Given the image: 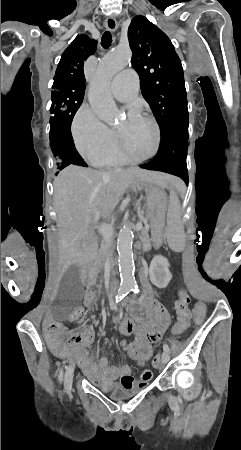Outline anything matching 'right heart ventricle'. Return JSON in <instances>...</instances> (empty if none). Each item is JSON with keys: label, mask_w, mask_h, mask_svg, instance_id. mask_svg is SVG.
Listing matches in <instances>:
<instances>
[{"label": "right heart ventricle", "mask_w": 241, "mask_h": 450, "mask_svg": "<svg viewBox=\"0 0 241 450\" xmlns=\"http://www.w3.org/2000/svg\"><path fill=\"white\" fill-rule=\"evenodd\" d=\"M107 141L111 142L112 150L100 158L87 159L88 163H90L93 166L110 167V166H121L130 160V158L127 159L125 157L122 158L119 156L120 149L118 141H112V138L108 136Z\"/></svg>", "instance_id": "right-heart-ventricle-1"}]
</instances>
